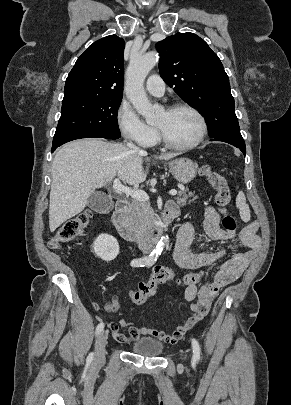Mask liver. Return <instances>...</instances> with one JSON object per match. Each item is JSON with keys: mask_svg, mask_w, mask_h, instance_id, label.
<instances>
[{"mask_svg": "<svg viewBox=\"0 0 291 405\" xmlns=\"http://www.w3.org/2000/svg\"><path fill=\"white\" fill-rule=\"evenodd\" d=\"M175 156L177 154L168 153L158 158L169 160ZM144 161H150L146 152L96 138L63 145L52 162L50 231L54 232L62 223L82 212L91 194L115 176L129 185L142 183L148 172V166L144 169Z\"/></svg>", "mask_w": 291, "mask_h": 405, "instance_id": "6515ba94", "label": "liver"}]
</instances>
